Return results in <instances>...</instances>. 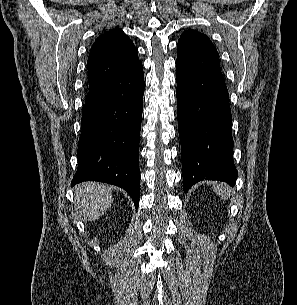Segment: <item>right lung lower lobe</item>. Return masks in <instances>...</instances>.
<instances>
[{
  "label": "right lung lower lobe",
  "mask_w": 297,
  "mask_h": 305,
  "mask_svg": "<svg viewBox=\"0 0 297 305\" xmlns=\"http://www.w3.org/2000/svg\"><path fill=\"white\" fill-rule=\"evenodd\" d=\"M144 73L140 62L129 72L89 88L82 114L78 169L71 186L100 181L119 186L139 205V139Z\"/></svg>",
  "instance_id": "right-lung-lower-lobe-1"
}]
</instances>
